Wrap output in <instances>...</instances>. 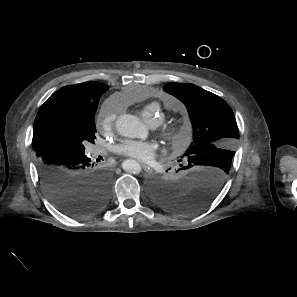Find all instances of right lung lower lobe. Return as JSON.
<instances>
[{
    "mask_svg": "<svg viewBox=\"0 0 297 297\" xmlns=\"http://www.w3.org/2000/svg\"><path fill=\"white\" fill-rule=\"evenodd\" d=\"M84 153L46 150L37 157V170L50 200L65 214L86 216L96 213L110 195V177L96 169Z\"/></svg>",
    "mask_w": 297,
    "mask_h": 297,
    "instance_id": "obj_1",
    "label": "right lung lower lobe"
}]
</instances>
